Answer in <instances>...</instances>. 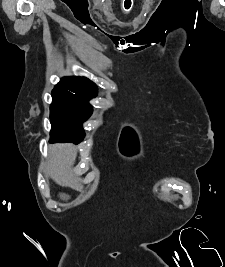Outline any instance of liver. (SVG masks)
<instances>
[{
	"instance_id": "obj_1",
	"label": "liver",
	"mask_w": 225,
	"mask_h": 267,
	"mask_svg": "<svg viewBox=\"0 0 225 267\" xmlns=\"http://www.w3.org/2000/svg\"><path fill=\"white\" fill-rule=\"evenodd\" d=\"M77 151L73 144H55L49 146V161L47 170L51 178L59 185L82 191L79 178L70 173L76 159Z\"/></svg>"
}]
</instances>
